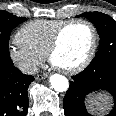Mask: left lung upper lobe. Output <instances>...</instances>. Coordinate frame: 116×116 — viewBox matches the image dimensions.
<instances>
[{
	"label": "left lung upper lobe",
	"mask_w": 116,
	"mask_h": 116,
	"mask_svg": "<svg viewBox=\"0 0 116 116\" xmlns=\"http://www.w3.org/2000/svg\"><path fill=\"white\" fill-rule=\"evenodd\" d=\"M78 17L88 18L99 33L100 47L93 60L116 58V21L101 12H86Z\"/></svg>",
	"instance_id": "left-lung-upper-lobe-1"
}]
</instances>
